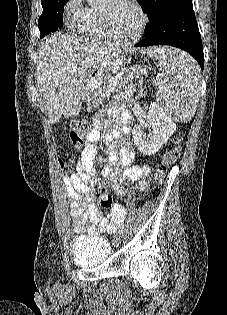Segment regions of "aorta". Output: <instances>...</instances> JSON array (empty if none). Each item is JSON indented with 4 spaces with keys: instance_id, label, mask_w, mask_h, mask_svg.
I'll list each match as a JSON object with an SVG mask.
<instances>
[{
    "instance_id": "obj_1",
    "label": "aorta",
    "mask_w": 227,
    "mask_h": 315,
    "mask_svg": "<svg viewBox=\"0 0 227 315\" xmlns=\"http://www.w3.org/2000/svg\"><path fill=\"white\" fill-rule=\"evenodd\" d=\"M86 1L91 5H95V4L102 3L104 0H86Z\"/></svg>"
}]
</instances>
